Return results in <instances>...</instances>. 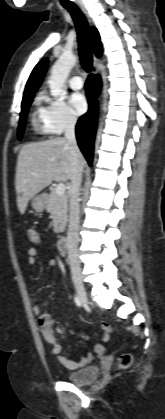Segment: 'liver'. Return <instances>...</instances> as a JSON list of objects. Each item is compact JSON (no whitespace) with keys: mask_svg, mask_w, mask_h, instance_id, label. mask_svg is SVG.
<instances>
[{"mask_svg":"<svg viewBox=\"0 0 165 419\" xmlns=\"http://www.w3.org/2000/svg\"><path fill=\"white\" fill-rule=\"evenodd\" d=\"M84 166L83 156L80 158ZM71 151L65 138H52L24 145L18 155L15 188L19 212L53 181L67 182L72 175Z\"/></svg>","mask_w":165,"mask_h":419,"instance_id":"6515ba94","label":"liver"}]
</instances>
